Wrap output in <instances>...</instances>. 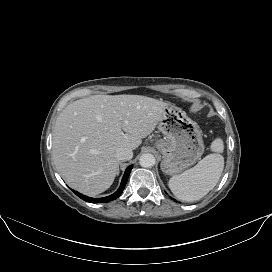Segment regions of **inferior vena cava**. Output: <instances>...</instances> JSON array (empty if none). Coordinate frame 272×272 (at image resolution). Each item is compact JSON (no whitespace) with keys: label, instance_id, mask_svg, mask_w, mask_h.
Here are the masks:
<instances>
[{"label":"inferior vena cava","instance_id":"602c4592","mask_svg":"<svg viewBox=\"0 0 272 272\" xmlns=\"http://www.w3.org/2000/svg\"><path fill=\"white\" fill-rule=\"evenodd\" d=\"M133 157V152L127 147H120L116 150V158L118 161L130 160Z\"/></svg>","mask_w":272,"mask_h":272}]
</instances>
